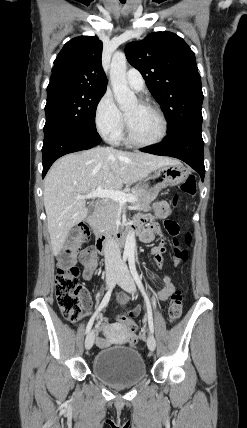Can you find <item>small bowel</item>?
<instances>
[{
	"label": "small bowel",
	"instance_id": "1",
	"mask_svg": "<svg viewBox=\"0 0 247 428\" xmlns=\"http://www.w3.org/2000/svg\"><path fill=\"white\" fill-rule=\"evenodd\" d=\"M169 214H170V206L167 202L163 201V202H159L155 205V207H154L155 217H157L159 219H164ZM138 219H140L144 223L143 232L140 234L141 240L145 243L151 242L153 240L154 233L157 229L156 224L152 221V218L150 216H147V215L140 216V217H138ZM165 251H166V248H165L164 244L155 246L151 250V257L153 259H155L158 263H162L164 260ZM87 258L93 259V261H94L93 267H90L86 264ZM80 259H81V262L84 266L83 278L86 280H89V279H91V277L93 275V271H94V268H95L96 263H97V256H96L95 249L94 248L85 249L81 253ZM174 289H175V286H174L170 276L165 275L163 278V285H162L161 289L155 294V296L158 300L164 302L173 293ZM84 301H85V307L88 309L90 307V299L86 296ZM126 301H127V297L125 295H121L119 297L120 304L124 305L126 303ZM132 309H135V308H132ZM124 317H126V316H124ZM134 324H136V323L134 322ZM124 325L125 324H123V326ZM102 327H105V325L102 324ZM134 334H136V333L128 332V341H130L132 339L131 337ZM96 343L99 347L104 348V347H108L109 345H111L112 340L104 338L102 336H97L96 337Z\"/></svg>",
	"mask_w": 247,
	"mask_h": 428
}]
</instances>
